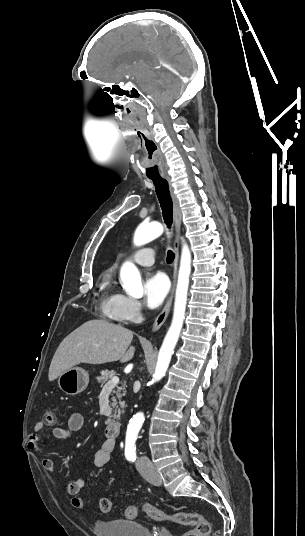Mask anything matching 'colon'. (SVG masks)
I'll return each mask as SVG.
<instances>
[{"label":"colon","instance_id":"1","mask_svg":"<svg viewBox=\"0 0 305 536\" xmlns=\"http://www.w3.org/2000/svg\"><path fill=\"white\" fill-rule=\"evenodd\" d=\"M54 414L47 415L45 422L53 423ZM72 506L80 513L87 512V503L82 502L80 495H75L71 500ZM100 511L103 513H111L113 511V502L109 498H102L99 502ZM142 511L149 517L157 521H170L181 525H192V529L185 536H211V524L207 518L196 513H167L164 512L149 502H142L140 505ZM136 505H130L123 510L124 517L127 519L134 518L138 513Z\"/></svg>","mask_w":305,"mask_h":536}]
</instances>
